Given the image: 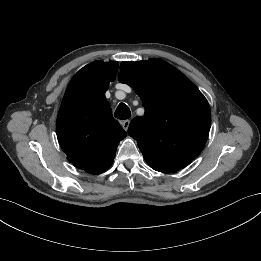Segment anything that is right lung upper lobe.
<instances>
[{"instance_id": "obj_1", "label": "right lung upper lobe", "mask_w": 261, "mask_h": 261, "mask_svg": "<svg viewBox=\"0 0 261 261\" xmlns=\"http://www.w3.org/2000/svg\"><path fill=\"white\" fill-rule=\"evenodd\" d=\"M118 62H92L71 79L57 116L59 144L75 167L91 174L108 169L126 132L112 116L105 92Z\"/></svg>"}]
</instances>
